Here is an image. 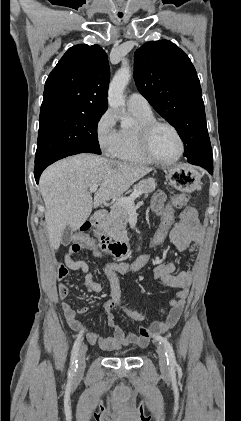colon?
Instances as JSON below:
<instances>
[{
  "label": "colon",
  "instance_id": "obj_1",
  "mask_svg": "<svg viewBox=\"0 0 241 421\" xmlns=\"http://www.w3.org/2000/svg\"><path fill=\"white\" fill-rule=\"evenodd\" d=\"M188 202V196L186 194H177L173 196L169 204L165 207V211L160 216V221L156 227L152 237L149 240L148 247L156 248L162 245L167 237L169 236L170 230L175 222L174 211L176 209L184 207ZM89 230L88 224H83L79 231L74 235V243L70 246L71 250L76 254L81 251L82 247H88L94 249L95 243L91 240L87 231ZM67 270L65 267L59 268V277L66 276Z\"/></svg>",
  "mask_w": 241,
  "mask_h": 421
}]
</instances>
